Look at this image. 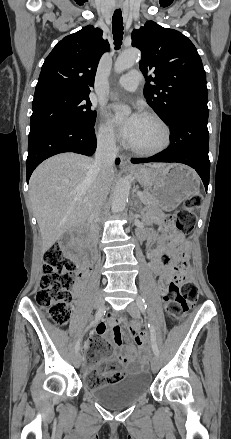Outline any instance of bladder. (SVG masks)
<instances>
[{
  "mask_svg": "<svg viewBox=\"0 0 231 439\" xmlns=\"http://www.w3.org/2000/svg\"><path fill=\"white\" fill-rule=\"evenodd\" d=\"M152 383L147 370L137 369L129 372L119 383L89 387L91 396L110 409L126 407L145 395Z\"/></svg>",
  "mask_w": 231,
  "mask_h": 439,
  "instance_id": "1",
  "label": "bladder"
}]
</instances>
